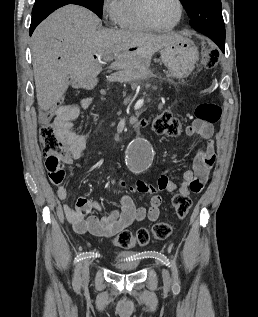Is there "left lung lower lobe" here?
I'll use <instances>...</instances> for the list:
<instances>
[{
	"instance_id": "1",
	"label": "left lung lower lobe",
	"mask_w": 258,
	"mask_h": 317,
	"mask_svg": "<svg viewBox=\"0 0 258 317\" xmlns=\"http://www.w3.org/2000/svg\"><path fill=\"white\" fill-rule=\"evenodd\" d=\"M196 31L208 36L211 40H213L219 48L224 53L225 50V29L222 28H198Z\"/></svg>"
}]
</instances>
